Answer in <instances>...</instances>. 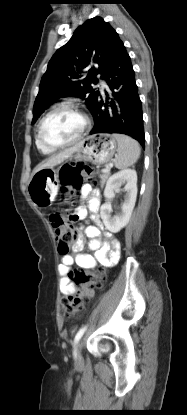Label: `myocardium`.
Wrapping results in <instances>:
<instances>
[{
	"instance_id": "obj_1",
	"label": "myocardium",
	"mask_w": 187,
	"mask_h": 415,
	"mask_svg": "<svg viewBox=\"0 0 187 415\" xmlns=\"http://www.w3.org/2000/svg\"><path fill=\"white\" fill-rule=\"evenodd\" d=\"M60 109H71L74 110L75 112H77L83 119V126L82 129L80 130L79 134L72 139L71 141H68L66 143H62V144H51L49 142H47L43 136H42V129H43V125L44 122L46 121V119L53 114L54 112H56L57 110ZM90 127V119L88 117V115L76 104L71 103V102H62V103H58L56 105H54L40 120L39 124H38V129H37V138L39 140V142L46 148L51 149V150H59V149H63L69 146H72L76 143H78L87 133L88 129Z\"/></svg>"
}]
</instances>
